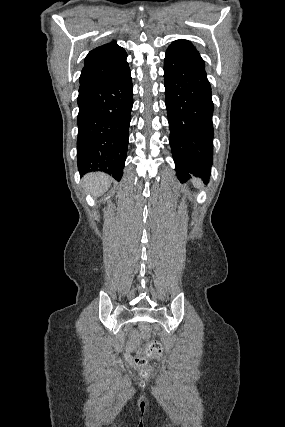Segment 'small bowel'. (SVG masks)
<instances>
[{"instance_id":"c3829d8e","label":"small bowel","mask_w":285,"mask_h":427,"mask_svg":"<svg viewBox=\"0 0 285 427\" xmlns=\"http://www.w3.org/2000/svg\"><path fill=\"white\" fill-rule=\"evenodd\" d=\"M136 344V340L135 339H131L128 343L127 346V352L125 354V358L128 362L132 363V355H131V351L133 350L134 346Z\"/></svg>"}]
</instances>
